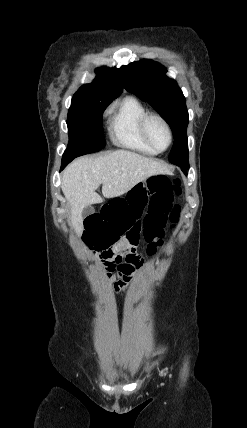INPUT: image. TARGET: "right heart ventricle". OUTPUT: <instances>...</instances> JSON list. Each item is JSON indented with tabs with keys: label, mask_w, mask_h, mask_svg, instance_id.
Instances as JSON below:
<instances>
[{
	"label": "right heart ventricle",
	"mask_w": 247,
	"mask_h": 428,
	"mask_svg": "<svg viewBox=\"0 0 247 428\" xmlns=\"http://www.w3.org/2000/svg\"><path fill=\"white\" fill-rule=\"evenodd\" d=\"M148 114L145 106L135 96L124 98L111 112L108 130L111 141L119 146L145 155H157L141 133V121Z\"/></svg>",
	"instance_id": "obj_1"
}]
</instances>
